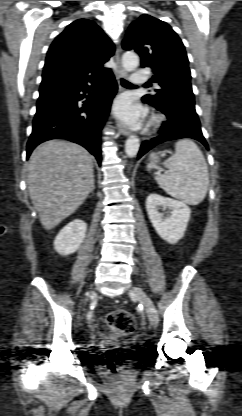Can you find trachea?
<instances>
[{
  "label": "trachea",
  "mask_w": 242,
  "mask_h": 416,
  "mask_svg": "<svg viewBox=\"0 0 242 416\" xmlns=\"http://www.w3.org/2000/svg\"><path fill=\"white\" fill-rule=\"evenodd\" d=\"M121 84H122V86H124V87H135V85L131 84L130 82H128V81H127V80H125V79H121ZM144 86L148 87V86H149V84H145Z\"/></svg>",
  "instance_id": "trachea-1"
}]
</instances>
